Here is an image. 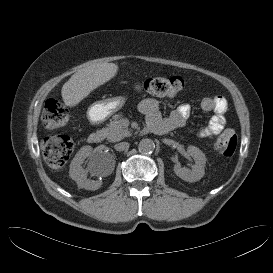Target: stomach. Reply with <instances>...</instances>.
<instances>
[{
	"instance_id": "stomach-1",
	"label": "stomach",
	"mask_w": 273,
	"mask_h": 273,
	"mask_svg": "<svg viewBox=\"0 0 273 273\" xmlns=\"http://www.w3.org/2000/svg\"><path fill=\"white\" fill-rule=\"evenodd\" d=\"M125 104L121 96L103 99L93 103L87 111V117L92 123H100L108 119Z\"/></svg>"
}]
</instances>
